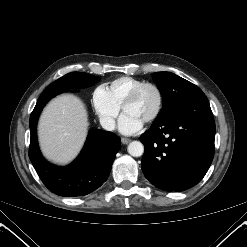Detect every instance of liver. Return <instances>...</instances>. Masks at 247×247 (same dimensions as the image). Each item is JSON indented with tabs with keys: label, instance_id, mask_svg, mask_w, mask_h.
I'll return each mask as SVG.
<instances>
[{
	"label": "liver",
	"instance_id": "liver-1",
	"mask_svg": "<svg viewBox=\"0 0 247 247\" xmlns=\"http://www.w3.org/2000/svg\"><path fill=\"white\" fill-rule=\"evenodd\" d=\"M88 115L82 101L61 95L44 109L38 126L44 155L57 163L71 161L81 149L87 134Z\"/></svg>",
	"mask_w": 247,
	"mask_h": 247
}]
</instances>
